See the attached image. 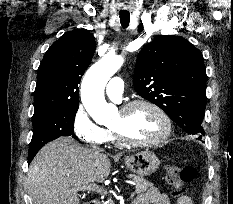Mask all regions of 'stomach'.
<instances>
[{
    "mask_svg": "<svg viewBox=\"0 0 233 204\" xmlns=\"http://www.w3.org/2000/svg\"><path fill=\"white\" fill-rule=\"evenodd\" d=\"M126 167L140 177L154 173L160 165V160L151 151H141L125 157Z\"/></svg>",
    "mask_w": 233,
    "mask_h": 204,
    "instance_id": "1",
    "label": "stomach"
}]
</instances>
